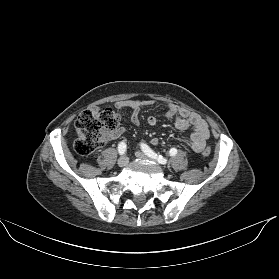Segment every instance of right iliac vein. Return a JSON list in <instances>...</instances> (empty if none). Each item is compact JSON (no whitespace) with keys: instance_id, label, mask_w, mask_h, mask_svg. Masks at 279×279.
I'll return each instance as SVG.
<instances>
[{"instance_id":"right-iliac-vein-1","label":"right iliac vein","mask_w":279,"mask_h":279,"mask_svg":"<svg viewBox=\"0 0 279 279\" xmlns=\"http://www.w3.org/2000/svg\"><path fill=\"white\" fill-rule=\"evenodd\" d=\"M127 163H128V158H127V156H122V157L118 160V165H119L120 167L126 166Z\"/></svg>"}]
</instances>
